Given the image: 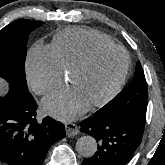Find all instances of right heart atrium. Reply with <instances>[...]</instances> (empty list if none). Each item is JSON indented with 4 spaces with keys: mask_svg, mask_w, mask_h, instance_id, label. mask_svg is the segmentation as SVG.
Returning a JSON list of instances; mask_svg holds the SVG:
<instances>
[{
    "mask_svg": "<svg viewBox=\"0 0 165 165\" xmlns=\"http://www.w3.org/2000/svg\"><path fill=\"white\" fill-rule=\"evenodd\" d=\"M26 75L30 88L44 95L60 86L64 79L62 69L51 46L34 45L28 52Z\"/></svg>",
    "mask_w": 165,
    "mask_h": 165,
    "instance_id": "right-heart-atrium-1",
    "label": "right heart atrium"
}]
</instances>
